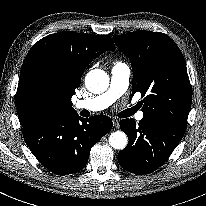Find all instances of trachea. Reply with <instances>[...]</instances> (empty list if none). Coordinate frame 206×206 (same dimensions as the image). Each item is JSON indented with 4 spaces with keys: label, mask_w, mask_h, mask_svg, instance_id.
<instances>
[{
    "label": "trachea",
    "mask_w": 206,
    "mask_h": 206,
    "mask_svg": "<svg viewBox=\"0 0 206 206\" xmlns=\"http://www.w3.org/2000/svg\"><path fill=\"white\" fill-rule=\"evenodd\" d=\"M134 112H135V108L133 107V108L129 109V110L126 112L125 116H130V115H132Z\"/></svg>",
    "instance_id": "trachea-1"
}]
</instances>
